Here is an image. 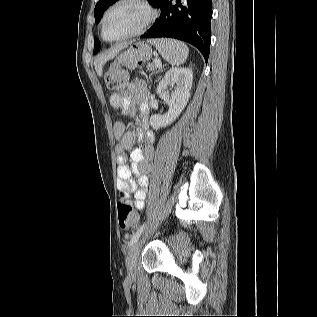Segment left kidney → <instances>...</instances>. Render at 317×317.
I'll return each instance as SVG.
<instances>
[{
  "mask_svg": "<svg viewBox=\"0 0 317 317\" xmlns=\"http://www.w3.org/2000/svg\"><path fill=\"white\" fill-rule=\"evenodd\" d=\"M192 82L193 72L190 68H174L165 73L156 92L169 105V110L164 115L151 116L150 125L154 130L166 127L178 118L190 98Z\"/></svg>",
  "mask_w": 317,
  "mask_h": 317,
  "instance_id": "left-kidney-1",
  "label": "left kidney"
}]
</instances>
